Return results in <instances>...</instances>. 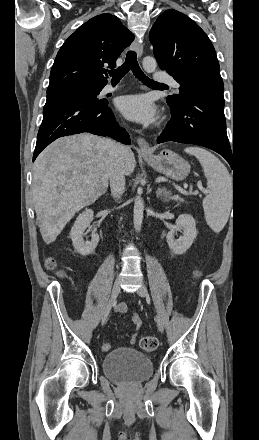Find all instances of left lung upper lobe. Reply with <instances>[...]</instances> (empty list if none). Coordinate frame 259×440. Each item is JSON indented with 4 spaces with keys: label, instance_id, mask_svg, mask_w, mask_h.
Segmentation results:
<instances>
[{
    "label": "left lung upper lobe",
    "instance_id": "5c2ea615",
    "mask_svg": "<svg viewBox=\"0 0 259 440\" xmlns=\"http://www.w3.org/2000/svg\"><path fill=\"white\" fill-rule=\"evenodd\" d=\"M149 39L160 68L180 84L179 94L168 96L173 107L195 89L224 91L215 49L205 32L189 17L167 10L154 23Z\"/></svg>",
    "mask_w": 259,
    "mask_h": 440
}]
</instances>
